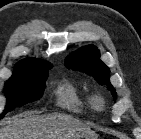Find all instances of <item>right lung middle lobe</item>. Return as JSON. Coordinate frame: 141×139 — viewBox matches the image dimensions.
<instances>
[{
    "instance_id": "1",
    "label": "right lung middle lobe",
    "mask_w": 141,
    "mask_h": 139,
    "mask_svg": "<svg viewBox=\"0 0 141 139\" xmlns=\"http://www.w3.org/2000/svg\"><path fill=\"white\" fill-rule=\"evenodd\" d=\"M52 66L25 68L14 70L13 75L5 84L7 104L0 119L15 107L39 100L45 88L48 70Z\"/></svg>"
}]
</instances>
